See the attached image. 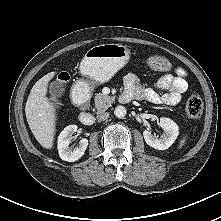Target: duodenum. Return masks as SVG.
<instances>
[{
	"label": "duodenum",
	"mask_w": 221,
	"mask_h": 221,
	"mask_svg": "<svg viewBox=\"0 0 221 221\" xmlns=\"http://www.w3.org/2000/svg\"><path fill=\"white\" fill-rule=\"evenodd\" d=\"M73 101L77 104L81 103L82 101V98L81 96L78 94V93H74L73 96ZM120 99L123 101V102H126V95L122 94ZM79 120L83 123V124H90L92 122V115L91 113L87 110V109H82L80 111V114H79Z\"/></svg>",
	"instance_id": "obj_1"
}]
</instances>
